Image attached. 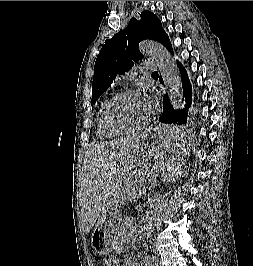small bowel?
Wrapping results in <instances>:
<instances>
[{
    "mask_svg": "<svg viewBox=\"0 0 253 266\" xmlns=\"http://www.w3.org/2000/svg\"><path fill=\"white\" fill-rule=\"evenodd\" d=\"M107 263H113L114 265L113 266H119L120 265V262L117 258H109L107 260ZM122 266H140L139 262L135 259V258H127Z\"/></svg>",
    "mask_w": 253,
    "mask_h": 266,
    "instance_id": "small-bowel-1",
    "label": "small bowel"
}]
</instances>
